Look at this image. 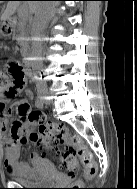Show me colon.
I'll use <instances>...</instances> for the list:
<instances>
[{
    "mask_svg": "<svg viewBox=\"0 0 137 189\" xmlns=\"http://www.w3.org/2000/svg\"><path fill=\"white\" fill-rule=\"evenodd\" d=\"M24 81V70L16 64L10 63L7 69L0 70V97L12 98L18 92ZM20 112L31 125L37 126L33 131L31 126L25 129L21 120H15L10 127L14 139H30L41 147L52 150L60 161V168L69 177H74L77 168V159L81 161L88 178L95 176L97 166L92 153L82 143L79 137L68 135L67 128L60 124L46 122L41 111L30 110L29 106L20 108Z\"/></svg>",
    "mask_w": 137,
    "mask_h": 189,
    "instance_id": "colon-1",
    "label": "colon"
}]
</instances>
